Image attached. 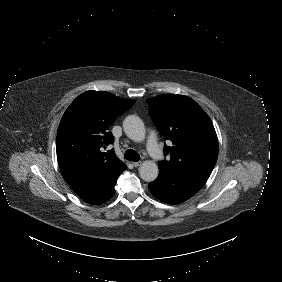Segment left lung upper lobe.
<instances>
[{"label":"left lung upper lobe","instance_id":"1","mask_svg":"<svg viewBox=\"0 0 282 282\" xmlns=\"http://www.w3.org/2000/svg\"><path fill=\"white\" fill-rule=\"evenodd\" d=\"M149 115L160 134L168 160L159 169L212 171L218 157V140L212 121L204 110L184 95L163 94L146 100Z\"/></svg>","mask_w":282,"mask_h":282}]
</instances>
